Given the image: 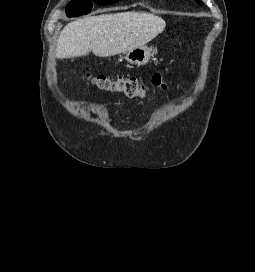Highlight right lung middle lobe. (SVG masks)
Wrapping results in <instances>:
<instances>
[{
  "instance_id": "obj_1",
  "label": "right lung middle lobe",
  "mask_w": 255,
  "mask_h": 272,
  "mask_svg": "<svg viewBox=\"0 0 255 272\" xmlns=\"http://www.w3.org/2000/svg\"><path fill=\"white\" fill-rule=\"evenodd\" d=\"M101 5L113 4L119 0H92ZM92 2L90 0H72L66 8L67 15L69 17H78L86 14L92 9Z\"/></svg>"
}]
</instances>
